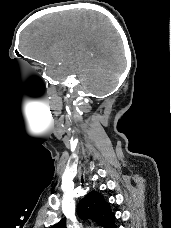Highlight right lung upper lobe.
Here are the masks:
<instances>
[{"instance_id": "right-lung-upper-lobe-1", "label": "right lung upper lobe", "mask_w": 171, "mask_h": 228, "mask_svg": "<svg viewBox=\"0 0 171 228\" xmlns=\"http://www.w3.org/2000/svg\"><path fill=\"white\" fill-rule=\"evenodd\" d=\"M78 215L83 219H92L102 228H115V216L109 204L102 195L96 191L87 194L77 207ZM51 228H66L65 219Z\"/></svg>"}]
</instances>
